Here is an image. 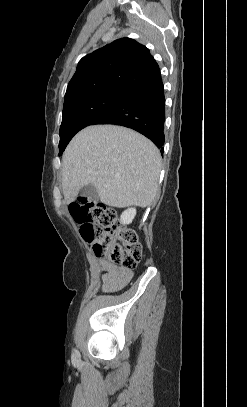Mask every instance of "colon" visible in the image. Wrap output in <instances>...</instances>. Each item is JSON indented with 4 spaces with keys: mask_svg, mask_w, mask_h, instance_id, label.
<instances>
[{
    "mask_svg": "<svg viewBox=\"0 0 247 407\" xmlns=\"http://www.w3.org/2000/svg\"><path fill=\"white\" fill-rule=\"evenodd\" d=\"M82 238L92 244L97 257L125 269H134L141 260L142 246L137 233L124 226L115 211L103 203L85 199L69 206Z\"/></svg>",
    "mask_w": 247,
    "mask_h": 407,
    "instance_id": "5ec220e1",
    "label": "colon"
}]
</instances>
